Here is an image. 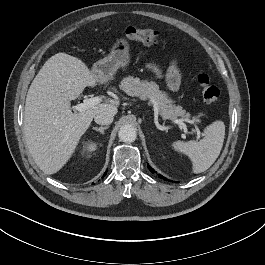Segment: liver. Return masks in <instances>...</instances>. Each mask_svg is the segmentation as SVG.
<instances>
[{"instance_id":"6515ba94","label":"liver","mask_w":265,"mask_h":265,"mask_svg":"<svg viewBox=\"0 0 265 265\" xmlns=\"http://www.w3.org/2000/svg\"><path fill=\"white\" fill-rule=\"evenodd\" d=\"M98 82L81 59L66 53L49 58L32 81L26 96L24 134L44 173L54 174L68 162L98 112L117 113L119 101L115 99L72 112L70 101Z\"/></svg>"}]
</instances>
